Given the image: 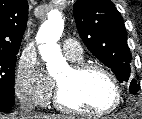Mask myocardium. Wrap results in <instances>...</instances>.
Segmentation results:
<instances>
[{
  "instance_id": "obj_1",
  "label": "myocardium",
  "mask_w": 142,
  "mask_h": 119,
  "mask_svg": "<svg viewBox=\"0 0 142 119\" xmlns=\"http://www.w3.org/2000/svg\"><path fill=\"white\" fill-rule=\"evenodd\" d=\"M70 70L75 76H80L89 71H99L103 73L111 82L114 89V99L111 105L99 112H88L71 106L63 98L62 87L58 81H56L55 95H54V104L55 106L66 112L73 115L84 116V117H103L114 112L120 105L122 100V91L116 76L104 65L95 63V62H77L70 66Z\"/></svg>"
}]
</instances>
